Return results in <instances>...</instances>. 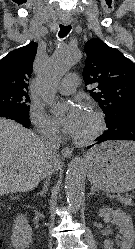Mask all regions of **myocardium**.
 <instances>
[{
	"label": "myocardium",
	"instance_id": "f54148a6",
	"mask_svg": "<svg viewBox=\"0 0 135 249\" xmlns=\"http://www.w3.org/2000/svg\"><path fill=\"white\" fill-rule=\"evenodd\" d=\"M88 111L94 117L95 127L92 130V132L90 134H88L87 136H85L83 138L75 137L74 141L77 144H81V145L88 144V143L94 141L96 138H98L103 133V131L105 129V120H104V116L101 113V111H99L97 108H95L93 106H89Z\"/></svg>",
	"mask_w": 135,
	"mask_h": 249
}]
</instances>
